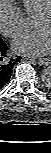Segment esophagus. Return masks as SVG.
Segmentation results:
<instances>
[{
    "label": "esophagus",
    "instance_id": "obj_1",
    "mask_svg": "<svg viewBox=\"0 0 51 153\" xmlns=\"http://www.w3.org/2000/svg\"><path fill=\"white\" fill-rule=\"evenodd\" d=\"M37 62L39 65H49L51 64V59L50 58H40Z\"/></svg>",
    "mask_w": 51,
    "mask_h": 153
}]
</instances>
